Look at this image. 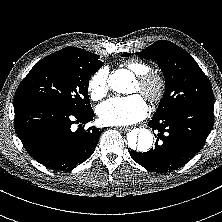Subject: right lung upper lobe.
I'll return each mask as SVG.
<instances>
[{
	"instance_id": "obj_1",
	"label": "right lung upper lobe",
	"mask_w": 222,
	"mask_h": 222,
	"mask_svg": "<svg viewBox=\"0 0 222 222\" xmlns=\"http://www.w3.org/2000/svg\"><path fill=\"white\" fill-rule=\"evenodd\" d=\"M93 55V53L86 50L76 48V47H66L61 49L53 54L48 55L47 57H66V58H77Z\"/></svg>"
}]
</instances>
